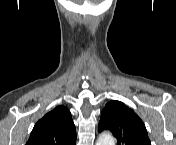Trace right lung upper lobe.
<instances>
[{"label": "right lung upper lobe", "mask_w": 176, "mask_h": 145, "mask_svg": "<svg viewBox=\"0 0 176 145\" xmlns=\"http://www.w3.org/2000/svg\"><path fill=\"white\" fill-rule=\"evenodd\" d=\"M76 129L69 110L58 106L34 126L27 145H75Z\"/></svg>", "instance_id": "1"}]
</instances>
